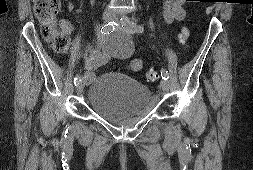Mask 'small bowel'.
<instances>
[{"label": "small bowel", "instance_id": "obj_1", "mask_svg": "<svg viewBox=\"0 0 253 170\" xmlns=\"http://www.w3.org/2000/svg\"><path fill=\"white\" fill-rule=\"evenodd\" d=\"M186 0H165L163 3V16L167 23H172L174 21H182L185 17V10L183 8ZM74 5L68 3V10L72 11ZM61 27L63 31L71 33L73 31L72 24L67 20L61 21ZM113 53L110 50H93L90 55L85 59V74L87 77V82H89L93 76L94 71L104 65L111 57ZM128 68L131 71L137 72L142 68L141 60L134 58L128 63Z\"/></svg>", "mask_w": 253, "mask_h": 170}]
</instances>
